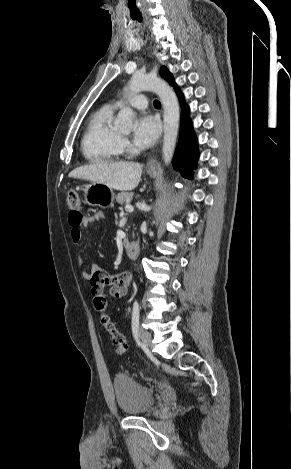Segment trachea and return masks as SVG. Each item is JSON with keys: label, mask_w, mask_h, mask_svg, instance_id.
Masks as SVG:
<instances>
[{"label": "trachea", "mask_w": 291, "mask_h": 469, "mask_svg": "<svg viewBox=\"0 0 291 469\" xmlns=\"http://www.w3.org/2000/svg\"><path fill=\"white\" fill-rule=\"evenodd\" d=\"M153 104H154L155 107H160L161 106V103L158 100H155Z\"/></svg>", "instance_id": "3493384b"}]
</instances>
